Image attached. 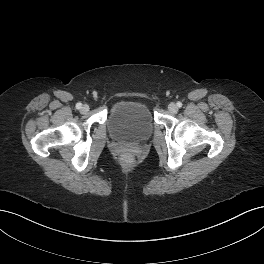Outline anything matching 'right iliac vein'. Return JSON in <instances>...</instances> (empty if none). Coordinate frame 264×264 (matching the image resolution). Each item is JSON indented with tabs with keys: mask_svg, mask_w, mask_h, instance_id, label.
<instances>
[{
	"mask_svg": "<svg viewBox=\"0 0 264 264\" xmlns=\"http://www.w3.org/2000/svg\"><path fill=\"white\" fill-rule=\"evenodd\" d=\"M88 111H89V106L86 105V104L83 105L82 108H81V112H82V113H86V112H88Z\"/></svg>",
	"mask_w": 264,
	"mask_h": 264,
	"instance_id": "right-iliac-vein-1",
	"label": "right iliac vein"
}]
</instances>
